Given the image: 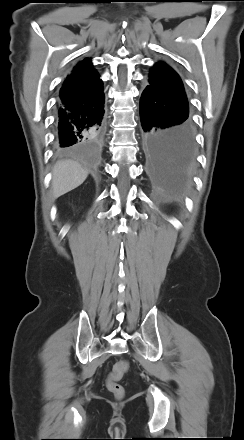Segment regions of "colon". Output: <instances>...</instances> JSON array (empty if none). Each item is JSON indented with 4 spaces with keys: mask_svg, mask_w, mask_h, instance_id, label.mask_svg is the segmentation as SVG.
<instances>
[{
    "mask_svg": "<svg viewBox=\"0 0 244 440\" xmlns=\"http://www.w3.org/2000/svg\"><path fill=\"white\" fill-rule=\"evenodd\" d=\"M128 369V363L125 360L117 362L110 374L108 375L106 386L107 389L117 398L121 399L124 396V388L119 383L120 379Z\"/></svg>",
    "mask_w": 244,
    "mask_h": 440,
    "instance_id": "colon-1",
    "label": "colon"
}]
</instances>
